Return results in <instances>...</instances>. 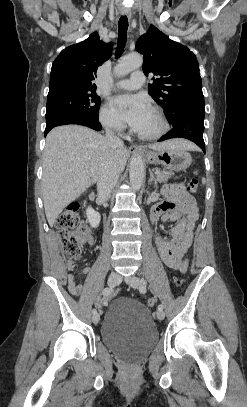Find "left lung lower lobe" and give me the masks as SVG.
Wrapping results in <instances>:
<instances>
[{"label": "left lung lower lobe", "mask_w": 247, "mask_h": 407, "mask_svg": "<svg viewBox=\"0 0 247 407\" xmlns=\"http://www.w3.org/2000/svg\"><path fill=\"white\" fill-rule=\"evenodd\" d=\"M205 111L196 109L181 112L172 122V130L165 134L159 141L171 138H186L196 143L205 153L203 139Z\"/></svg>", "instance_id": "obj_1"}]
</instances>
